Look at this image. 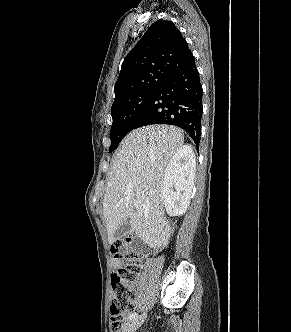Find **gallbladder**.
Segmentation results:
<instances>
[{
  "label": "gallbladder",
  "mask_w": 291,
  "mask_h": 332,
  "mask_svg": "<svg viewBox=\"0 0 291 332\" xmlns=\"http://www.w3.org/2000/svg\"><path fill=\"white\" fill-rule=\"evenodd\" d=\"M133 232L129 222L122 223L118 226V228L114 232L115 240L121 239L126 234H131Z\"/></svg>",
  "instance_id": "bac80fb5"
}]
</instances>
